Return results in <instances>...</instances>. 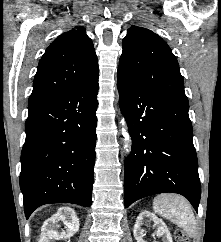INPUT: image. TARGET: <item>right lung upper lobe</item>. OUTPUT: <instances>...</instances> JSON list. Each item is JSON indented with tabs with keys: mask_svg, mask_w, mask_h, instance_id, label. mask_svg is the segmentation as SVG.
Here are the masks:
<instances>
[{
	"mask_svg": "<svg viewBox=\"0 0 221 242\" xmlns=\"http://www.w3.org/2000/svg\"><path fill=\"white\" fill-rule=\"evenodd\" d=\"M97 73L92 40L83 27L72 29L46 49L38 64L29 102L73 90Z\"/></svg>",
	"mask_w": 221,
	"mask_h": 242,
	"instance_id": "right-lung-upper-lobe-1",
	"label": "right lung upper lobe"
}]
</instances>
